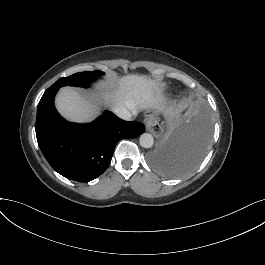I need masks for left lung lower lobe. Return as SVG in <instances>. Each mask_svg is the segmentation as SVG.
I'll use <instances>...</instances> for the list:
<instances>
[{"label": "left lung lower lobe", "mask_w": 265, "mask_h": 265, "mask_svg": "<svg viewBox=\"0 0 265 265\" xmlns=\"http://www.w3.org/2000/svg\"><path fill=\"white\" fill-rule=\"evenodd\" d=\"M211 137V123L204 110L162 140L149 154L150 164L169 177L194 169L204 157Z\"/></svg>", "instance_id": "left-lung-lower-lobe-1"}]
</instances>
